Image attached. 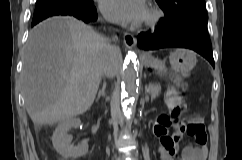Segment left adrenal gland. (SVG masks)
Masks as SVG:
<instances>
[{
    "mask_svg": "<svg viewBox=\"0 0 242 160\" xmlns=\"http://www.w3.org/2000/svg\"><path fill=\"white\" fill-rule=\"evenodd\" d=\"M148 100V95L146 94V101Z\"/></svg>",
    "mask_w": 242,
    "mask_h": 160,
    "instance_id": "1",
    "label": "left adrenal gland"
}]
</instances>
